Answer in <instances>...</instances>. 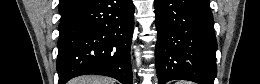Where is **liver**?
<instances>
[{
	"label": "liver",
	"mask_w": 260,
	"mask_h": 84,
	"mask_svg": "<svg viewBox=\"0 0 260 84\" xmlns=\"http://www.w3.org/2000/svg\"><path fill=\"white\" fill-rule=\"evenodd\" d=\"M72 84H114V79L110 77L86 75L73 79Z\"/></svg>",
	"instance_id": "6515ba94"
}]
</instances>
